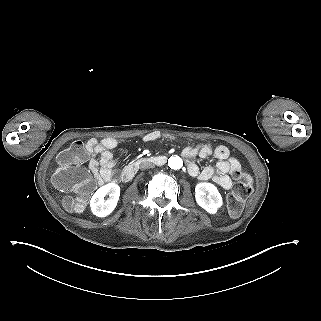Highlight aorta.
Segmentation results:
<instances>
[{
	"label": "aorta",
	"mask_w": 321,
	"mask_h": 321,
	"mask_svg": "<svg viewBox=\"0 0 321 321\" xmlns=\"http://www.w3.org/2000/svg\"><path fill=\"white\" fill-rule=\"evenodd\" d=\"M168 165L171 169H180L183 165V161L179 156L170 157L168 159Z\"/></svg>",
	"instance_id": "obj_1"
}]
</instances>
